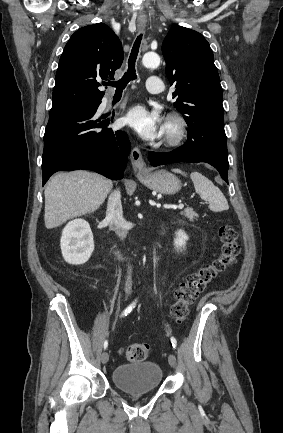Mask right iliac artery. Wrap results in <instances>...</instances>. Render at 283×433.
I'll use <instances>...</instances> for the list:
<instances>
[{
    "label": "right iliac artery",
    "instance_id": "82829eb1",
    "mask_svg": "<svg viewBox=\"0 0 283 433\" xmlns=\"http://www.w3.org/2000/svg\"><path fill=\"white\" fill-rule=\"evenodd\" d=\"M135 304H136V301L133 302L131 305H129V306H128L124 311H123L122 316H127L128 313H130V312L132 311V309L135 307ZM107 346H108V341L106 340V341L104 342V349H106Z\"/></svg>",
    "mask_w": 283,
    "mask_h": 433
}]
</instances>
